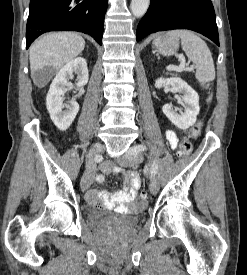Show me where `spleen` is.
Instances as JSON below:
<instances>
[{
    "mask_svg": "<svg viewBox=\"0 0 247 275\" xmlns=\"http://www.w3.org/2000/svg\"><path fill=\"white\" fill-rule=\"evenodd\" d=\"M179 37L182 49L188 59L196 65V79L206 83L215 79V67L213 58L205 41L189 30H174L166 34V37Z\"/></svg>",
    "mask_w": 247,
    "mask_h": 275,
    "instance_id": "spleen-1",
    "label": "spleen"
}]
</instances>
